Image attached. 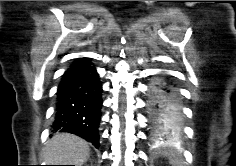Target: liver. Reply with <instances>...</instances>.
Returning <instances> with one entry per match:
<instances>
[{
  "label": "liver",
  "instance_id": "obj_1",
  "mask_svg": "<svg viewBox=\"0 0 236 166\" xmlns=\"http://www.w3.org/2000/svg\"><path fill=\"white\" fill-rule=\"evenodd\" d=\"M90 148L83 139L69 134H55L46 144L44 158L50 165L81 166L89 157Z\"/></svg>",
  "mask_w": 236,
  "mask_h": 166
}]
</instances>
